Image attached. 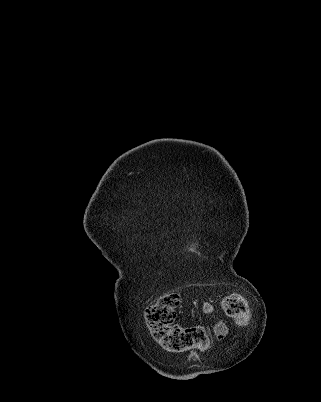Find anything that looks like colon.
Masks as SVG:
<instances>
[{"mask_svg": "<svg viewBox=\"0 0 321 402\" xmlns=\"http://www.w3.org/2000/svg\"><path fill=\"white\" fill-rule=\"evenodd\" d=\"M180 297L170 292L145 310V324L151 338L165 351L183 353L190 350H207L212 345L210 333L200 325L184 326L174 324ZM225 314L235 319L239 325L247 324L250 316L245 298L238 293L226 295L222 300Z\"/></svg>", "mask_w": 321, "mask_h": 402, "instance_id": "obj_1", "label": "colon"}]
</instances>
